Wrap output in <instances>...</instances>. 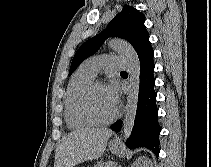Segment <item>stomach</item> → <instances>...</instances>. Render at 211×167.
<instances>
[{
    "instance_id": "obj_1",
    "label": "stomach",
    "mask_w": 211,
    "mask_h": 167,
    "mask_svg": "<svg viewBox=\"0 0 211 167\" xmlns=\"http://www.w3.org/2000/svg\"><path fill=\"white\" fill-rule=\"evenodd\" d=\"M109 149L113 154L121 155L123 154V148L118 140H113L109 143Z\"/></svg>"
}]
</instances>
